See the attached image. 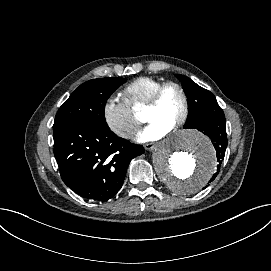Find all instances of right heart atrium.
Returning a JSON list of instances; mask_svg holds the SVG:
<instances>
[{"label": "right heart atrium", "mask_w": 271, "mask_h": 271, "mask_svg": "<svg viewBox=\"0 0 271 271\" xmlns=\"http://www.w3.org/2000/svg\"><path fill=\"white\" fill-rule=\"evenodd\" d=\"M102 116L109 129L124 140H130L138 128V121L128 101L119 94L110 95L104 100Z\"/></svg>", "instance_id": "d8ad5b80"}]
</instances>
